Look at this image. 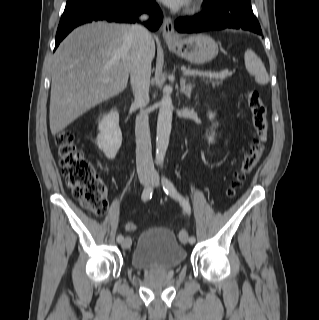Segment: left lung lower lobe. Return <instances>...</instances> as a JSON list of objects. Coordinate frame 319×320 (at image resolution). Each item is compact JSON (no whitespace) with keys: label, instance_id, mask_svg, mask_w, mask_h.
<instances>
[{"label":"left lung lower lobe","instance_id":"obj_1","mask_svg":"<svg viewBox=\"0 0 319 320\" xmlns=\"http://www.w3.org/2000/svg\"><path fill=\"white\" fill-rule=\"evenodd\" d=\"M175 28L183 33L234 28L262 34L250 0H205L201 13L177 19Z\"/></svg>","mask_w":319,"mask_h":320}]
</instances>
